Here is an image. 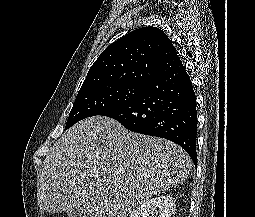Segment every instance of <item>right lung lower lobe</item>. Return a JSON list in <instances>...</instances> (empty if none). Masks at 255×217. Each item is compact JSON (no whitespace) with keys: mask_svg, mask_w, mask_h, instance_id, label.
Segmentation results:
<instances>
[{"mask_svg":"<svg viewBox=\"0 0 255 217\" xmlns=\"http://www.w3.org/2000/svg\"><path fill=\"white\" fill-rule=\"evenodd\" d=\"M102 115L128 130L179 144L197 164L196 98L184 66L149 83L130 103Z\"/></svg>","mask_w":255,"mask_h":217,"instance_id":"obj_1","label":"right lung lower lobe"}]
</instances>
